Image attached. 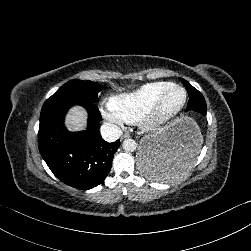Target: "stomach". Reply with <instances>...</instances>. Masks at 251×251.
I'll use <instances>...</instances> for the list:
<instances>
[{
	"instance_id": "obj_1",
	"label": "stomach",
	"mask_w": 251,
	"mask_h": 251,
	"mask_svg": "<svg viewBox=\"0 0 251 251\" xmlns=\"http://www.w3.org/2000/svg\"><path fill=\"white\" fill-rule=\"evenodd\" d=\"M203 137L193 118L181 116L163 132L140 141L138 166L148 178L179 179L200 158Z\"/></svg>"
}]
</instances>
